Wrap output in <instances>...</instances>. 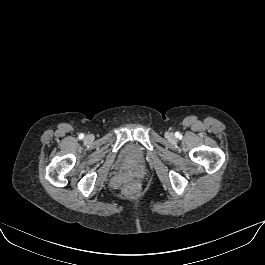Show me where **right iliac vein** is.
<instances>
[{
    "instance_id": "right-iliac-vein-1",
    "label": "right iliac vein",
    "mask_w": 265,
    "mask_h": 265,
    "mask_svg": "<svg viewBox=\"0 0 265 265\" xmlns=\"http://www.w3.org/2000/svg\"><path fill=\"white\" fill-rule=\"evenodd\" d=\"M92 139V137L90 135L86 136V140L90 141Z\"/></svg>"
}]
</instances>
